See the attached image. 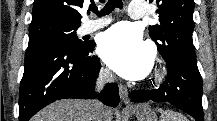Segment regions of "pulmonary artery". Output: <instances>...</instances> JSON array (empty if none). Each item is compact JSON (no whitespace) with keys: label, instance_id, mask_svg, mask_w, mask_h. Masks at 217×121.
Returning a JSON list of instances; mask_svg holds the SVG:
<instances>
[{"label":"pulmonary artery","instance_id":"pulmonary-artery-1","mask_svg":"<svg viewBox=\"0 0 217 121\" xmlns=\"http://www.w3.org/2000/svg\"><path fill=\"white\" fill-rule=\"evenodd\" d=\"M147 13V5L142 2L132 1L129 5V17L133 19L142 18ZM112 21L109 17H103L98 20L86 21L80 28L82 34L92 33L109 24Z\"/></svg>","mask_w":217,"mask_h":121}]
</instances>
